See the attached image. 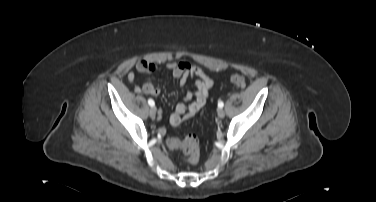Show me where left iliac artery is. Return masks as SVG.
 I'll return each mask as SVG.
<instances>
[{
	"label": "left iliac artery",
	"instance_id": "left-iliac-artery-1",
	"mask_svg": "<svg viewBox=\"0 0 376 202\" xmlns=\"http://www.w3.org/2000/svg\"><path fill=\"white\" fill-rule=\"evenodd\" d=\"M223 106H224L223 101H219V102H218V107H219V108H223Z\"/></svg>",
	"mask_w": 376,
	"mask_h": 202
}]
</instances>
